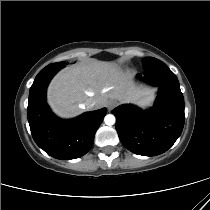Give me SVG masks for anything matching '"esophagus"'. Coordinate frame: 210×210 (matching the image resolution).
Segmentation results:
<instances>
[{"label":"esophagus","instance_id":"esophagus-1","mask_svg":"<svg viewBox=\"0 0 210 210\" xmlns=\"http://www.w3.org/2000/svg\"><path fill=\"white\" fill-rule=\"evenodd\" d=\"M117 105V102L114 100H109L107 103V107L109 110L113 109Z\"/></svg>","mask_w":210,"mask_h":210}]
</instances>
